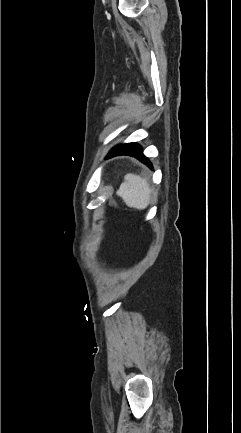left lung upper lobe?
Masks as SVG:
<instances>
[{
	"instance_id": "5c2ea615",
	"label": "left lung upper lobe",
	"mask_w": 241,
	"mask_h": 433,
	"mask_svg": "<svg viewBox=\"0 0 241 433\" xmlns=\"http://www.w3.org/2000/svg\"><path fill=\"white\" fill-rule=\"evenodd\" d=\"M131 143H128V144H124V145H119V146H117V147H122V146H127V145H130ZM116 148V147H115Z\"/></svg>"
}]
</instances>
